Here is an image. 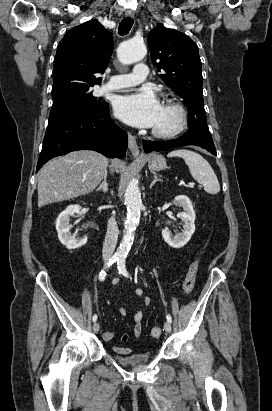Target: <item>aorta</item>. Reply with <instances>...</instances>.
Here are the masks:
<instances>
[{
    "label": "aorta",
    "mask_w": 272,
    "mask_h": 411,
    "mask_svg": "<svg viewBox=\"0 0 272 411\" xmlns=\"http://www.w3.org/2000/svg\"><path fill=\"white\" fill-rule=\"evenodd\" d=\"M146 52V46L143 41L132 39L123 42L118 47L117 55L121 63L132 64L143 59ZM124 199L127 206V218L123 239L115 253V258L118 261H124L127 257L131 248L133 232L136 230L140 221L142 201L140 189L135 180L129 182L125 190Z\"/></svg>",
    "instance_id": "1"
}]
</instances>
